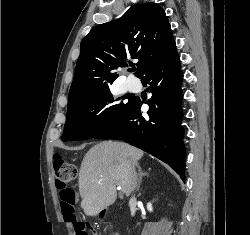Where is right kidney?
<instances>
[{"label": "right kidney", "instance_id": "1", "mask_svg": "<svg viewBox=\"0 0 250 235\" xmlns=\"http://www.w3.org/2000/svg\"><path fill=\"white\" fill-rule=\"evenodd\" d=\"M147 209H148V211H150V212L153 211V208H152V204H151V203H148V204H147Z\"/></svg>", "mask_w": 250, "mask_h": 235}]
</instances>
